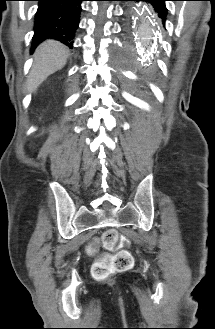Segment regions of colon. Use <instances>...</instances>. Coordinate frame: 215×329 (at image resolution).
I'll return each mask as SVG.
<instances>
[{
  "label": "colon",
  "mask_w": 215,
  "mask_h": 329,
  "mask_svg": "<svg viewBox=\"0 0 215 329\" xmlns=\"http://www.w3.org/2000/svg\"><path fill=\"white\" fill-rule=\"evenodd\" d=\"M125 243L114 229L107 230L102 235V245L107 250H114ZM96 243H93L89 248L90 253H95ZM133 264L132 255L121 250L116 254L100 253L96 262L93 265L92 273L96 280H104L114 272L124 271L130 268Z\"/></svg>",
  "instance_id": "obj_1"
}]
</instances>
